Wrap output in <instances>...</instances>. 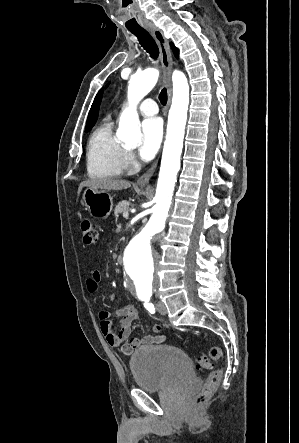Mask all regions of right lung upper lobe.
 <instances>
[{"instance_id":"obj_1","label":"right lung upper lobe","mask_w":299,"mask_h":443,"mask_svg":"<svg viewBox=\"0 0 299 443\" xmlns=\"http://www.w3.org/2000/svg\"><path fill=\"white\" fill-rule=\"evenodd\" d=\"M100 101H101V95L99 92L97 94L92 106H91L86 126L95 124L97 117H98V110H99Z\"/></svg>"}]
</instances>
